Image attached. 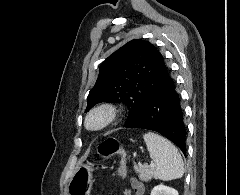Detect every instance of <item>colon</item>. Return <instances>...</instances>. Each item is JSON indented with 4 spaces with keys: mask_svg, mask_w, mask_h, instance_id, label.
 Returning a JSON list of instances; mask_svg holds the SVG:
<instances>
[{
    "mask_svg": "<svg viewBox=\"0 0 240 195\" xmlns=\"http://www.w3.org/2000/svg\"><path fill=\"white\" fill-rule=\"evenodd\" d=\"M99 153L101 156L108 157L117 154L119 158V166L115 168V174L124 176L128 170L127 153L120 146L119 142L115 139H107L101 145Z\"/></svg>",
    "mask_w": 240,
    "mask_h": 195,
    "instance_id": "5ec220e1",
    "label": "colon"
}]
</instances>
